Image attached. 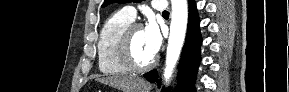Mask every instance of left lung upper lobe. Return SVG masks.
<instances>
[{
  "instance_id": "left-lung-upper-lobe-1",
  "label": "left lung upper lobe",
  "mask_w": 289,
  "mask_h": 92,
  "mask_svg": "<svg viewBox=\"0 0 289 92\" xmlns=\"http://www.w3.org/2000/svg\"><path fill=\"white\" fill-rule=\"evenodd\" d=\"M142 0H105L102 7L109 5L110 3H128V2H141Z\"/></svg>"
}]
</instances>
